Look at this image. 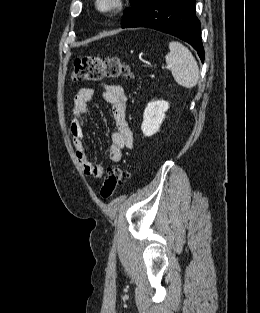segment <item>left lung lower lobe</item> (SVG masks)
<instances>
[{"mask_svg":"<svg viewBox=\"0 0 260 313\" xmlns=\"http://www.w3.org/2000/svg\"><path fill=\"white\" fill-rule=\"evenodd\" d=\"M196 0H151L125 27H148L189 43L204 61L200 22L195 15Z\"/></svg>","mask_w":260,"mask_h":313,"instance_id":"obj_1","label":"left lung lower lobe"}]
</instances>
